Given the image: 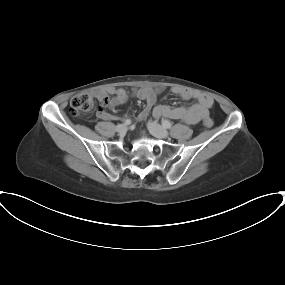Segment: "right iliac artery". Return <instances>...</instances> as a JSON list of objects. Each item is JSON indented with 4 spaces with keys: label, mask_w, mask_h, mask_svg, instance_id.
<instances>
[{
    "label": "right iliac artery",
    "mask_w": 285,
    "mask_h": 285,
    "mask_svg": "<svg viewBox=\"0 0 285 285\" xmlns=\"http://www.w3.org/2000/svg\"><path fill=\"white\" fill-rule=\"evenodd\" d=\"M124 124H125V125L131 124V120H130V119L125 120V121H124Z\"/></svg>",
    "instance_id": "1"
}]
</instances>
